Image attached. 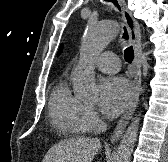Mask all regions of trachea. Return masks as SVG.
I'll return each instance as SVG.
<instances>
[{
	"label": "trachea",
	"mask_w": 168,
	"mask_h": 162,
	"mask_svg": "<svg viewBox=\"0 0 168 162\" xmlns=\"http://www.w3.org/2000/svg\"><path fill=\"white\" fill-rule=\"evenodd\" d=\"M105 1H110V2L114 3V5H116L118 7V9L120 10V6L118 5L117 0H105ZM123 38L125 40H128V33H127V30H126L125 27H124ZM124 58H125V60L128 63L132 62V60L134 58V50H133L132 46H130V47H128V48L125 49V51H124Z\"/></svg>",
	"instance_id": "1"
}]
</instances>
